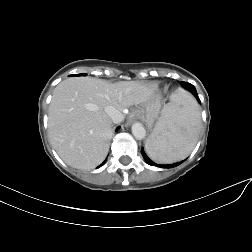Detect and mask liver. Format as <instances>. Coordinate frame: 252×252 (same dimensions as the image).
I'll return each mask as SVG.
<instances>
[{
	"label": "liver",
	"instance_id": "6515ba94",
	"mask_svg": "<svg viewBox=\"0 0 252 252\" xmlns=\"http://www.w3.org/2000/svg\"><path fill=\"white\" fill-rule=\"evenodd\" d=\"M151 104L161 108L154 85L135 81L109 83L94 77L68 78L56 86L52 95L49 139L69 166L93 168L106 158L112 138V120L105 107L113 106L124 117L132 106Z\"/></svg>",
	"mask_w": 252,
	"mask_h": 252
}]
</instances>
